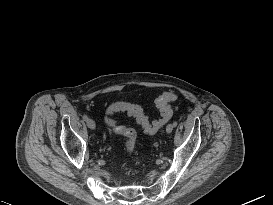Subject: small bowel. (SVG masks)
I'll list each match as a JSON object with an SVG mask.
<instances>
[{
	"label": "small bowel",
	"mask_w": 273,
	"mask_h": 205,
	"mask_svg": "<svg viewBox=\"0 0 273 205\" xmlns=\"http://www.w3.org/2000/svg\"><path fill=\"white\" fill-rule=\"evenodd\" d=\"M123 105H124V109L122 110V112H127L126 111V108L128 107V106H130V105H133V104H131V103H122Z\"/></svg>",
	"instance_id": "small-bowel-1"
}]
</instances>
